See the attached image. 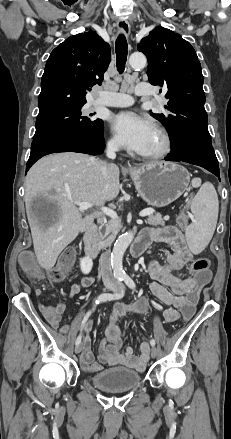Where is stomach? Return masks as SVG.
I'll return each mask as SVG.
<instances>
[{"label": "stomach", "mask_w": 231, "mask_h": 439, "mask_svg": "<svg viewBox=\"0 0 231 439\" xmlns=\"http://www.w3.org/2000/svg\"><path fill=\"white\" fill-rule=\"evenodd\" d=\"M141 198L154 207L166 206L178 199L190 182L188 171L175 163L155 162L130 171Z\"/></svg>", "instance_id": "0dacf381"}]
</instances>
